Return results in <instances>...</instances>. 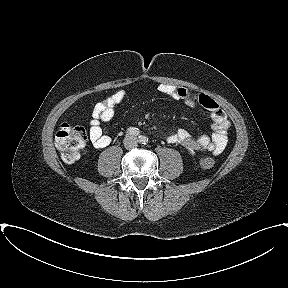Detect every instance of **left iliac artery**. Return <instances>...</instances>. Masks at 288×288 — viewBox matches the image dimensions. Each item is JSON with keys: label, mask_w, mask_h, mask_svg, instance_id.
Instances as JSON below:
<instances>
[{"label": "left iliac artery", "mask_w": 288, "mask_h": 288, "mask_svg": "<svg viewBox=\"0 0 288 288\" xmlns=\"http://www.w3.org/2000/svg\"><path fill=\"white\" fill-rule=\"evenodd\" d=\"M139 141L142 143V144H146L148 142V138H146L145 136H139Z\"/></svg>", "instance_id": "obj_1"}]
</instances>
